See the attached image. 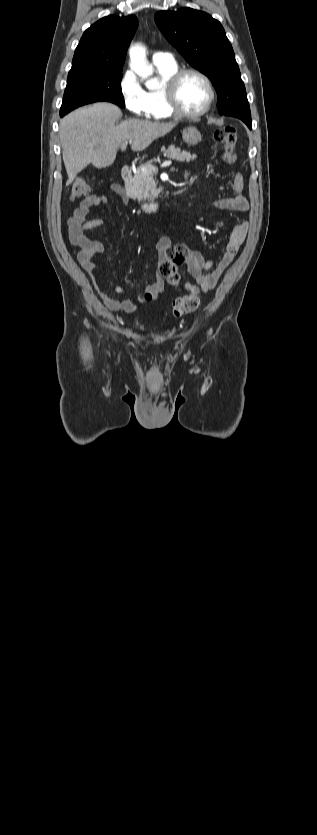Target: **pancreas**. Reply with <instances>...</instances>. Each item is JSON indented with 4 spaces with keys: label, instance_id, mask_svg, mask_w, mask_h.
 Wrapping results in <instances>:
<instances>
[{
    "label": "pancreas",
    "instance_id": "pancreas-1",
    "mask_svg": "<svg viewBox=\"0 0 317 835\" xmlns=\"http://www.w3.org/2000/svg\"><path fill=\"white\" fill-rule=\"evenodd\" d=\"M162 151H165V148H162ZM167 158L177 160L179 162H190L196 158V155H191L190 152L182 151L179 148H175L174 145H170L168 147ZM159 157L157 159H153L145 164H142L134 174V177L130 179L126 185V191L128 197L132 198L133 200H149L154 199L158 196L159 190L157 189V184L153 179V176L156 174V171L150 170L148 172H143L142 168L154 167L152 164L153 161H159Z\"/></svg>",
    "mask_w": 317,
    "mask_h": 835
}]
</instances>
